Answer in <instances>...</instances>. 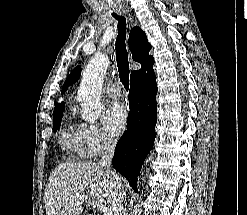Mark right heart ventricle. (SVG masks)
I'll return each instance as SVG.
<instances>
[{
	"instance_id": "right-heart-ventricle-1",
	"label": "right heart ventricle",
	"mask_w": 247,
	"mask_h": 215,
	"mask_svg": "<svg viewBox=\"0 0 247 215\" xmlns=\"http://www.w3.org/2000/svg\"><path fill=\"white\" fill-rule=\"evenodd\" d=\"M61 142L67 150L75 155L81 158L87 157L86 149H84L82 145V140L79 136L78 129H76L73 125H68L62 130Z\"/></svg>"
}]
</instances>
